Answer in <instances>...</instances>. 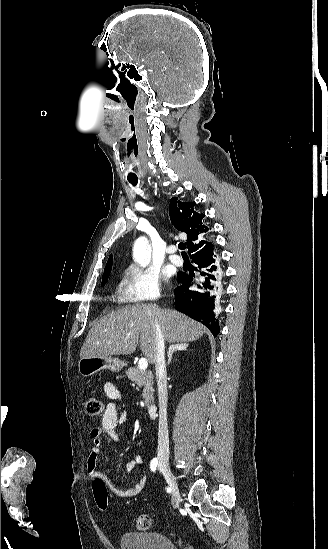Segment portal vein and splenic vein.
I'll list each match as a JSON object with an SVG mask.
<instances>
[{"mask_svg":"<svg viewBox=\"0 0 328 549\" xmlns=\"http://www.w3.org/2000/svg\"><path fill=\"white\" fill-rule=\"evenodd\" d=\"M127 335H131V333H127ZM138 367L139 369H141V371H146L147 367H148V361L147 359H139L138 361Z\"/></svg>","mask_w":328,"mask_h":549,"instance_id":"obj_1","label":"portal vein and splenic vein"}]
</instances>
